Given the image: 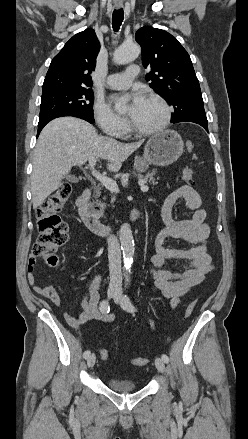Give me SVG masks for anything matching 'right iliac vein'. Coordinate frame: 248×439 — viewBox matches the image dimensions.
I'll return each instance as SVG.
<instances>
[{"label":"right iliac vein","mask_w":248,"mask_h":439,"mask_svg":"<svg viewBox=\"0 0 248 439\" xmlns=\"http://www.w3.org/2000/svg\"><path fill=\"white\" fill-rule=\"evenodd\" d=\"M116 295H117L116 289L114 287H110L108 289V296L110 298H114ZM95 362H96L95 354L89 355V357L87 358V365H88V367L92 368L94 366Z\"/></svg>","instance_id":"obj_1"}]
</instances>
